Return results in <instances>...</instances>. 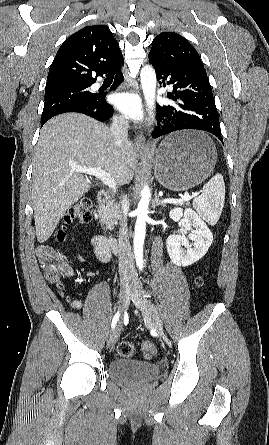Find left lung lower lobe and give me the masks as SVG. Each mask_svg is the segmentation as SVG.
<instances>
[{"label":"left lung lower lobe","mask_w":269,"mask_h":445,"mask_svg":"<svg viewBox=\"0 0 269 445\" xmlns=\"http://www.w3.org/2000/svg\"><path fill=\"white\" fill-rule=\"evenodd\" d=\"M149 62L155 68L159 83H165L168 79L167 84L172 85L173 92L167 96L179 101L173 106L156 107L159 123L152 136L157 138L178 130L197 129L214 134L223 143L218 112L205 68L172 67L150 59Z\"/></svg>","instance_id":"0a47b994"}]
</instances>
